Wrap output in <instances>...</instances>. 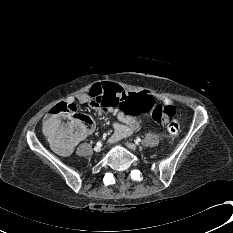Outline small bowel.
<instances>
[{"instance_id":"obj_1","label":"small bowel","mask_w":233,"mask_h":233,"mask_svg":"<svg viewBox=\"0 0 233 233\" xmlns=\"http://www.w3.org/2000/svg\"><path fill=\"white\" fill-rule=\"evenodd\" d=\"M108 83H114V82H108ZM91 88L87 93L79 94L76 99L79 103L88 105L90 108H92L100 115L106 111L109 115L113 114L116 117L117 122H115L113 125L114 132L112 135V142H117L122 138L130 136L139 129L140 122L137 118V115L134 116L128 115L124 111L117 109V107L115 106L108 104H101L94 101L90 95ZM154 99L162 102L165 105H172L173 103L172 100L165 95L154 96ZM66 104L74 106L73 101H68V103ZM74 144L75 143H72L69 147L66 148L59 147L58 151L61 154L66 155L72 150Z\"/></svg>"}]
</instances>
